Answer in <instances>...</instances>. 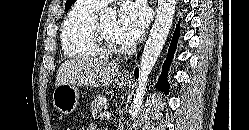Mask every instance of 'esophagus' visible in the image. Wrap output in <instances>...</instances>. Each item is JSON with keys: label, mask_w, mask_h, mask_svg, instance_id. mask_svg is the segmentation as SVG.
I'll return each instance as SVG.
<instances>
[{"label": "esophagus", "mask_w": 249, "mask_h": 130, "mask_svg": "<svg viewBox=\"0 0 249 130\" xmlns=\"http://www.w3.org/2000/svg\"><path fill=\"white\" fill-rule=\"evenodd\" d=\"M156 2V0H154ZM124 76H128V73L127 72H124Z\"/></svg>", "instance_id": "obj_1"}]
</instances>
